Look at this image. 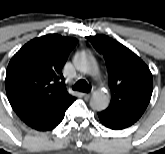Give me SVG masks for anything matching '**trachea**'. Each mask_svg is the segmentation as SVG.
<instances>
[{"instance_id":"3493384b","label":"trachea","mask_w":165,"mask_h":154,"mask_svg":"<svg viewBox=\"0 0 165 154\" xmlns=\"http://www.w3.org/2000/svg\"><path fill=\"white\" fill-rule=\"evenodd\" d=\"M73 90L88 93L90 90V87L85 80L81 79L75 83V85L73 86Z\"/></svg>"}]
</instances>
